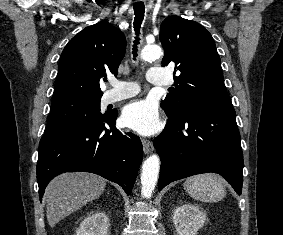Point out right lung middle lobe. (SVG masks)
I'll list each match as a JSON object with an SVG mask.
<instances>
[{
    "mask_svg": "<svg viewBox=\"0 0 283 235\" xmlns=\"http://www.w3.org/2000/svg\"><path fill=\"white\" fill-rule=\"evenodd\" d=\"M100 99L101 97H74L54 102L44 136L103 117L100 113Z\"/></svg>",
    "mask_w": 283,
    "mask_h": 235,
    "instance_id": "right-lung-middle-lobe-1",
    "label": "right lung middle lobe"
}]
</instances>
